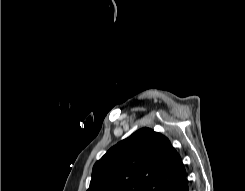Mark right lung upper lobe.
Instances as JSON below:
<instances>
[{"mask_svg": "<svg viewBox=\"0 0 245 191\" xmlns=\"http://www.w3.org/2000/svg\"><path fill=\"white\" fill-rule=\"evenodd\" d=\"M186 177L168 138L142 128L96 162L87 191H166Z\"/></svg>", "mask_w": 245, "mask_h": 191, "instance_id": "right-lung-upper-lobe-1", "label": "right lung upper lobe"}]
</instances>
